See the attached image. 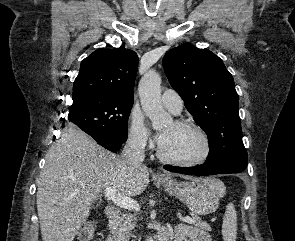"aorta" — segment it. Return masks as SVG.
I'll return each mask as SVG.
<instances>
[{
    "label": "aorta",
    "instance_id": "1",
    "mask_svg": "<svg viewBox=\"0 0 295 241\" xmlns=\"http://www.w3.org/2000/svg\"><path fill=\"white\" fill-rule=\"evenodd\" d=\"M143 111L152 122V127L159 130L172 123V117L164 110L161 103V76L151 69L147 71L138 86ZM147 241H154L149 237Z\"/></svg>",
    "mask_w": 295,
    "mask_h": 241
}]
</instances>
